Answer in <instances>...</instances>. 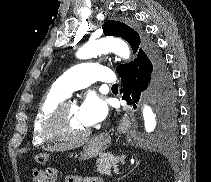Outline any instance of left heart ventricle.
I'll use <instances>...</instances> for the list:
<instances>
[{"mask_svg":"<svg viewBox=\"0 0 211 182\" xmlns=\"http://www.w3.org/2000/svg\"><path fill=\"white\" fill-rule=\"evenodd\" d=\"M63 127L66 133L79 134L88 129L78 115V107L75 104H69L65 110Z\"/></svg>","mask_w":211,"mask_h":182,"instance_id":"b2bd125f","label":"left heart ventricle"}]
</instances>
